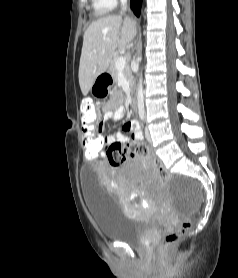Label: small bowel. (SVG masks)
Returning a JSON list of instances; mask_svg holds the SVG:
<instances>
[{
	"mask_svg": "<svg viewBox=\"0 0 238 278\" xmlns=\"http://www.w3.org/2000/svg\"><path fill=\"white\" fill-rule=\"evenodd\" d=\"M125 114V109L123 106H117V107H110L107 106L106 110L104 111L103 114V122L104 121H118L120 120ZM103 131H104V126H103ZM129 132L131 134V137L129 138L126 136L125 133ZM95 133V132H94ZM98 134V127H97V133ZM103 137V153L106 155V148L113 143H119V144H124L127 143L130 139L135 140V141H140L143 138L142 131L140 129V126L136 120H130L126 122L123 125L122 131L116 133V135L111 136V137H105L104 135L100 136ZM84 142V138H83Z\"/></svg>",
	"mask_w": 238,
	"mask_h": 278,
	"instance_id": "c3829d8e",
	"label": "small bowel"
}]
</instances>
